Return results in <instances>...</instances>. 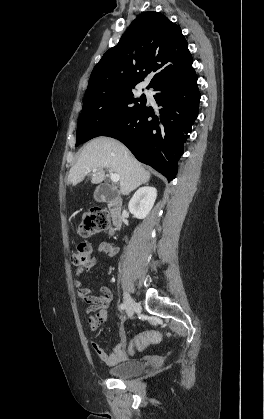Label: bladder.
<instances>
[{
  "mask_svg": "<svg viewBox=\"0 0 264 419\" xmlns=\"http://www.w3.org/2000/svg\"><path fill=\"white\" fill-rule=\"evenodd\" d=\"M145 368L142 361L128 360L110 368L108 374L114 378L126 379L142 374Z\"/></svg>",
  "mask_w": 264,
  "mask_h": 419,
  "instance_id": "bladder-1",
  "label": "bladder"
}]
</instances>
